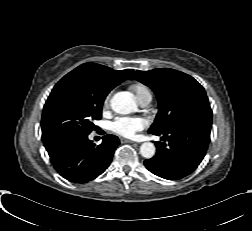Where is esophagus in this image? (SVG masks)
<instances>
[{
  "label": "esophagus",
  "instance_id": "1",
  "mask_svg": "<svg viewBox=\"0 0 252 231\" xmlns=\"http://www.w3.org/2000/svg\"><path fill=\"white\" fill-rule=\"evenodd\" d=\"M120 141L121 143H134L133 141L125 139V138H121Z\"/></svg>",
  "mask_w": 252,
  "mask_h": 231
}]
</instances>
